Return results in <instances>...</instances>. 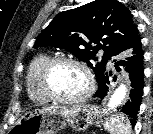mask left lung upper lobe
<instances>
[{"instance_id":"1","label":"left lung upper lobe","mask_w":153,"mask_h":134,"mask_svg":"<svg viewBox=\"0 0 153 134\" xmlns=\"http://www.w3.org/2000/svg\"><path fill=\"white\" fill-rule=\"evenodd\" d=\"M140 43L129 9L117 0H95L56 15L33 47L53 46L69 51L85 61L99 81L106 71L107 60L133 50ZM100 49L105 53L101 62L93 65L91 60L97 61L95 54Z\"/></svg>"}]
</instances>
